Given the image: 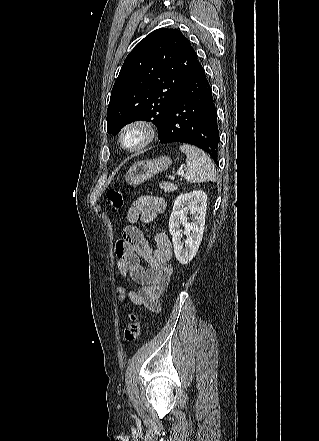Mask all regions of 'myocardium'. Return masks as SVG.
<instances>
[{"label": "myocardium", "mask_w": 319, "mask_h": 441, "mask_svg": "<svg viewBox=\"0 0 319 441\" xmlns=\"http://www.w3.org/2000/svg\"><path fill=\"white\" fill-rule=\"evenodd\" d=\"M133 133L138 135V141L135 144L129 145L127 137ZM156 135V127L151 121L135 119L122 127L118 134V142L120 147L126 152L135 153L150 145L156 138Z\"/></svg>", "instance_id": "obj_1"}]
</instances>
